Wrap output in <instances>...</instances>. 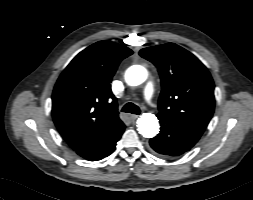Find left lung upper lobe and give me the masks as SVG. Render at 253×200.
<instances>
[{
  "instance_id": "1",
  "label": "left lung upper lobe",
  "mask_w": 253,
  "mask_h": 200,
  "mask_svg": "<svg viewBox=\"0 0 253 200\" xmlns=\"http://www.w3.org/2000/svg\"><path fill=\"white\" fill-rule=\"evenodd\" d=\"M161 77L159 113L206 128L214 112V83L207 68L193 54L174 44L144 48Z\"/></svg>"
}]
</instances>
